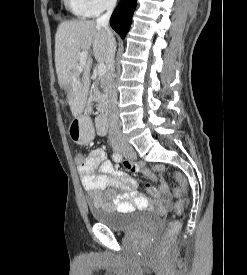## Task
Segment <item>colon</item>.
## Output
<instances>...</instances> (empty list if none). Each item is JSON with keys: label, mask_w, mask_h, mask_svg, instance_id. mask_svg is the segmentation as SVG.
I'll use <instances>...</instances> for the list:
<instances>
[{"label": "colon", "mask_w": 247, "mask_h": 275, "mask_svg": "<svg viewBox=\"0 0 247 275\" xmlns=\"http://www.w3.org/2000/svg\"><path fill=\"white\" fill-rule=\"evenodd\" d=\"M76 161L79 163L82 162L81 154H77ZM126 167L128 169H133L135 167V164L127 162ZM174 179L179 184V186L173 189V194L177 199L176 211L178 214H180L183 211L185 206V198L183 197V195H185L187 192V181L184 178V176L180 173H175ZM180 229H181V222L179 220H172L169 222L165 232L161 237V246L163 249H167L173 243Z\"/></svg>", "instance_id": "colon-1"}]
</instances>
